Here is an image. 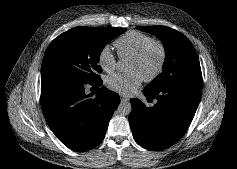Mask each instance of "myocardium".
<instances>
[{"label":"myocardium","mask_w":237,"mask_h":169,"mask_svg":"<svg viewBox=\"0 0 237 169\" xmlns=\"http://www.w3.org/2000/svg\"><path fill=\"white\" fill-rule=\"evenodd\" d=\"M152 48H157L159 50V53H160L159 62L156 68L153 70V72L143 78L145 82L153 81L162 72L164 64H165V60H166V55H167L164 44L159 40H152L148 44H146L140 51H138L137 53H135L134 55L130 57V59H133V60H138V61L143 60L145 56L147 55V53Z\"/></svg>","instance_id":"obj_1"}]
</instances>
